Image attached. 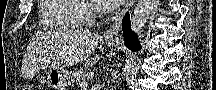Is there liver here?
I'll use <instances>...</instances> for the list:
<instances>
[{"label": "liver", "instance_id": "obj_1", "mask_svg": "<svg viewBox=\"0 0 216 90\" xmlns=\"http://www.w3.org/2000/svg\"><path fill=\"white\" fill-rule=\"evenodd\" d=\"M67 66H74L89 58L100 42V36L89 30H67L64 36Z\"/></svg>", "mask_w": 216, "mask_h": 90}]
</instances>
